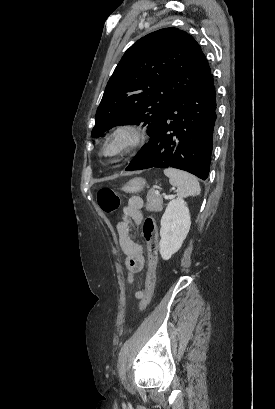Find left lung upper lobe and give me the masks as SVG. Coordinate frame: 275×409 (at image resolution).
<instances>
[{
	"label": "left lung upper lobe",
	"mask_w": 275,
	"mask_h": 409,
	"mask_svg": "<svg viewBox=\"0 0 275 409\" xmlns=\"http://www.w3.org/2000/svg\"><path fill=\"white\" fill-rule=\"evenodd\" d=\"M210 72L206 56L188 33L164 28L142 37L109 79L92 137L116 125L141 122L152 135L176 100Z\"/></svg>",
	"instance_id": "5c2ea615"
}]
</instances>
